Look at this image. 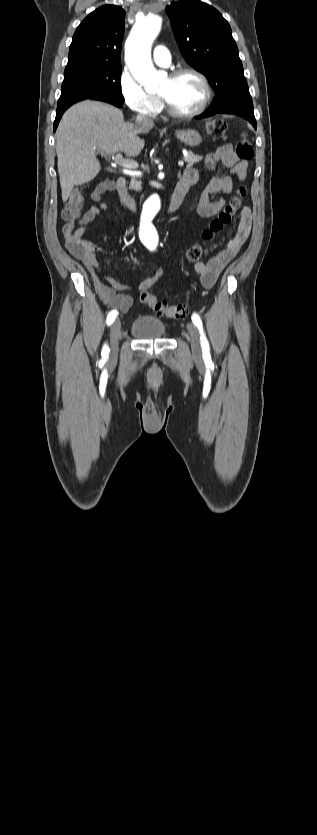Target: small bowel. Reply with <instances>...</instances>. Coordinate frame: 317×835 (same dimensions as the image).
<instances>
[{
  "mask_svg": "<svg viewBox=\"0 0 317 835\" xmlns=\"http://www.w3.org/2000/svg\"><path fill=\"white\" fill-rule=\"evenodd\" d=\"M218 163H221L224 167H226L228 169V173L226 175L212 177L201 192L197 204V213L202 217L209 218L220 212L226 203V200L224 198L213 200L212 198L220 193L231 194L234 190V179L237 181H243L247 174L248 162L239 159L231 144L220 146L215 150V152L210 154L205 161V165L208 169H214ZM200 178L201 171L197 168L191 167L184 171L183 177L180 181L188 189L190 186L198 184ZM107 192H111L107 189V181L100 183L92 191L91 198L94 202L98 203V205H92L83 214L79 221L80 228L74 233L73 238H80L86 227L98 218L100 210H107L109 208L108 204L102 201ZM251 224V212L248 208H244L241 213L237 232L228 242L227 246L223 250L214 254L208 260L199 261L194 264V269L200 275L201 282L206 288H210L215 283L221 271L236 256L241 247L244 245L250 234ZM68 248L81 260L83 265L88 270L93 285L103 303L111 308H114L117 312H128L133 305V298L125 291L133 288V285L124 283L114 277L104 274L96 259V252L98 250L94 249L88 254L79 255L70 246L69 242ZM162 274L163 269L159 267L152 276L141 280L136 285L138 291L141 292L151 288L160 279Z\"/></svg>",
  "mask_w": 317,
  "mask_h": 835,
  "instance_id": "obj_1",
  "label": "small bowel"
}]
</instances>
